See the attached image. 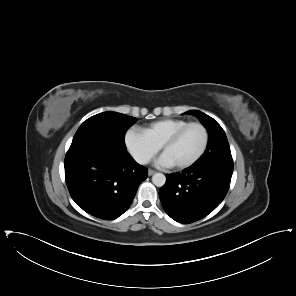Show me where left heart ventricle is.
Listing matches in <instances>:
<instances>
[{"label":"left heart ventricle","mask_w":296,"mask_h":296,"mask_svg":"<svg viewBox=\"0 0 296 296\" xmlns=\"http://www.w3.org/2000/svg\"><path fill=\"white\" fill-rule=\"evenodd\" d=\"M204 141V134L200 127L192 126L169 146L164 154L173 164L182 163L192 159L201 149Z\"/></svg>","instance_id":"1"}]
</instances>
